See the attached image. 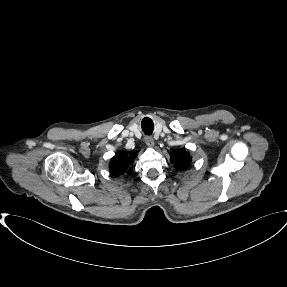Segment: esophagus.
<instances>
[{
    "mask_svg": "<svg viewBox=\"0 0 287 287\" xmlns=\"http://www.w3.org/2000/svg\"><path fill=\"white\" fill-rule=\"evenodd\" d=\"M145 143L148 145V146H154V140L152 137L150 136H146L145 137Z\"/></svg>",
    "mask_w": 287,
    "mask_h": 287,
    "instance_id": "obj_1",
    "label": "esophagus"
}]
</instances>
